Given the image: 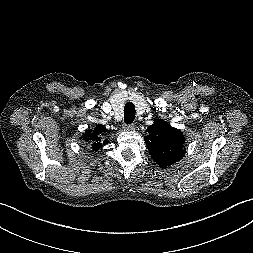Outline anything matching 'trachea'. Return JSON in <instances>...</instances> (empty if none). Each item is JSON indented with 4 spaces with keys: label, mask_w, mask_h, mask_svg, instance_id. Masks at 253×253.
I'll return each mask as SVG.
<instances>
[{
    "label": "trachea",
    "mask_w": 253,
    "mask_h": 253,
    "mask_svg": "<svg viewBox=\"0 0 253 253\" xmlns=\"http://www.w3.org/2000/svg\"><path fill=\"white\" fill-rule=\"evenodd\" d=\"M135 106L132 102H127L124 107V122L131 124L135 119Z\"/></svg>",
    "instance_id": "obj_1"
}]
</instances>
